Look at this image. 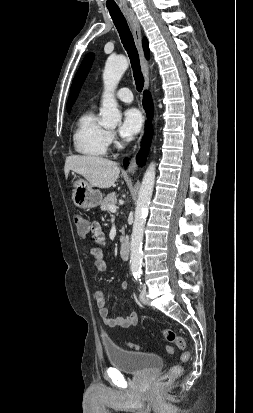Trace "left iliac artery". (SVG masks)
Segmentation results:
<instances>
[{"label": "left iliac artery", "instance_id": "obj_1", "mask_svg": "<svg viewBox=\"0 0 253 413\" xmlns=\"http://www.w3.org/2000/svg\"><path fill=\"white\" fill-rule=\"evenodd\" d=\"M139 278H140V274H139V276H138ZM141 280L139 279V282H140ZM141 283V282H140Z\"/></svg>", "mask_w": 253, "mask_h": 413}]
</instances>
